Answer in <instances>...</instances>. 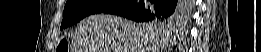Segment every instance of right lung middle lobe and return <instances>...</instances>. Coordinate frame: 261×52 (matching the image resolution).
<instances>
[{"instance_id": "1", "label": "right lung middle lobe", "mask_w": 261, "mask_h": 52, "mask_svg": "<svg viewBox=\"0 0 261 52\" xmlns=\"http://www.w3.org/2000/svg\"><path fill=\"white\" fill-rule=\"evenodd\" d=\"M119 2V0H67L61 29L79 22L90 14L101 13ZM188 5L187 1H181L182 9L188 8ZM178 20L179 17L170 20H158L154 23L164 29H171Z\"/></svg>"}]
</instances>
